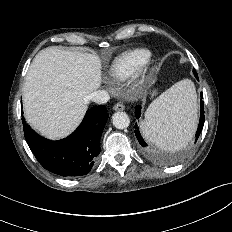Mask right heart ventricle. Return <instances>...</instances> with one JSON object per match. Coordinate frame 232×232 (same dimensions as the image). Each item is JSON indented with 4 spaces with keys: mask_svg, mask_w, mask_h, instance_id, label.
Instances as JSON below:
<instances>
[{
    "mask_svg": "<svg viewBox=\"0 0 232 232\" xmlns=\"http://www.w3.org/2000/svg\"><path fill=\"white\" fill-rule=\"evenodd\" d=\"M152 53L147 48H135L117 56L109 67V74L114 80L123 81L138 73L151 59Z\"/></svg>",
    "mask_w": 232,
    "mask_h": 232,
    "instance_id": "e07e8e85",
    "label": "right heart ventricle"
}]
</instances>
